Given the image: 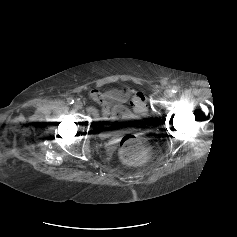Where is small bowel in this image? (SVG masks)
<instances>
[{
    "mask_svg": "<svg viewBox=\"0 0 237 237\" xmlns=\"http://www.w3.org/2000/svg\"><path fill=\"white\" fill-rule=\"evenodd\" d=\"M91 98L96 101L102 108V116L98 117L94 109H90V113L103 122H116L119 120L132 117V112L125 106L130 101L133 110L137 114L146 112V100L141 93L132 89L111 90L108 92H100L97 89L90 91Z\"/></svg>",
    "mask_w": 237,
    "mask_h": 237,
    "instance_id": "c3829d8e",
    "label": "small bowel"
}]
</instances>
